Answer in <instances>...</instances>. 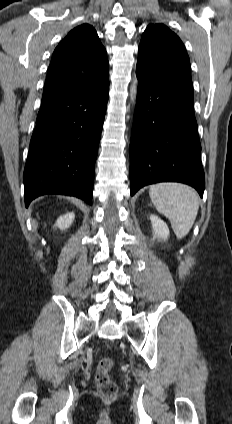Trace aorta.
I'll return each instance as SVG.
<instances>
[{"instance_id":"1","label":"aorta","mask_w":232,"mask_h":424,"mask_svg":"<svg viewBox=\"0 0 232 424\" xmlns=\"http://www.w3.org/2000/svg\"><path fill=\"white\" fill-rule=\"evenodd\" d=\"M136 93H137V81H134V83L131 85V89H130V95H131L132 101L135 100Z\"/></svg>"}]
</instances>
